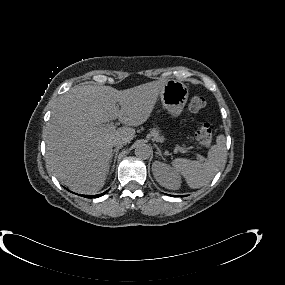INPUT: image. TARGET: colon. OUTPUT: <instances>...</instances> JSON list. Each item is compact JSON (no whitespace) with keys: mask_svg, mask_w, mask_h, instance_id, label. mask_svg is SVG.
I'll list each match as a JSON object with an SVG mask.
<instances>
[{"mask_svg":"<svg viewBox=\"0 0 285 285\" xmlns=\"http://www.w3.org/2000/svg\"><path fill=\"white\" fill-rule=\"evenodd\" d=\"M206 106L205 98L200 94H193L189 100V109L192 113H200ZM196 139L203 147H209L212 143V129L208 122H202L196 130Z\"/></svg>","mask_w":285,"mask_h":285,"instance_id":"5ec220e1","label":"colon"}]
</instances>
